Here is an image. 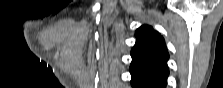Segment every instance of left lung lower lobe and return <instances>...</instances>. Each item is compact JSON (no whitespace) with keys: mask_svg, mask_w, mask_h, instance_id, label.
<instances>
[{"mask_svg":"<svg viewBox=\"0 0 223 88\" xmlns=\"http://www.w3.org/2000/svg\"><path fill=\"white\" fill-rule=\"evenodd\" d=\"M133 88H166L169 72L148 63L132 61L130 65Z\"/></svg>","mask_w":223,"mask_h":88,"instance_id":"left-lung-lower-lobe-1","label":"left lung lower lobe"}]
</instances>
